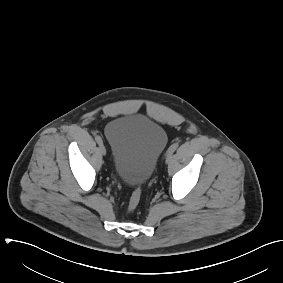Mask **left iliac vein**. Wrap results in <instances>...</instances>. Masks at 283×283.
Listing matches in <instances>:
<instances>
[{
    "label": "left iliac vein",
    "mask_w": 283,
    "mask_h": 283,
    "mask_svg": "<svg viewBox=\"0 0 283 283\" xmlns=\"http://www.w3.org/2000/svg\"><path fill=\"white\" fill-rule=\"evenodd\" d=\"M171 158H172V154L166 156V162L168 163L171 160Z\"/></svg>",
    "instance_id": "1"
}]
</instances>
